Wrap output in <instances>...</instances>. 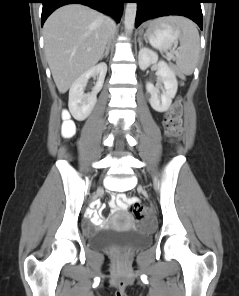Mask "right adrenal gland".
I'll use <instances>...</instances> for the list:
<instances>
[{"label":"right adrenal gland","instance_id":"right-adrenal-gland-1","mask_svg":"<svg viewBox=\"0 0 239 296\" xmlns=\"http://www.w3.org/2000/svg\"><path fill=\"white\" fill-rule=\"evenodd\" d=\"M109 52H110V45H108V47L106 48L105 53L102 55L100 60H102L104 57H107L109 55Z\"/></svg>","mask_w":239,"mask_h":296}]
</instances>
